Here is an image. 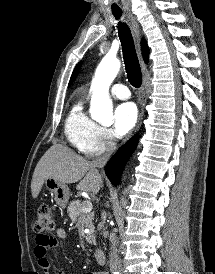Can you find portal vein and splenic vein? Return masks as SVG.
I'll return each mask as SVG.
<instances>
[{"label":"portal vein and splenic vein","instance_id":"portal-vein-and-splenic-vein-1","mask_svg":"<svg viewBox=\"0 0 215 274\" xmlns=\"http://www.w3.org/2000/svg\"><path fill=\"white\" fill-rule=\"evenodd\" d=\"M91 210H92V203L90 201H85L82 211L87 213V212H90Z\"/></svg>","mask_w":215,"mask_h":274}]
</instances>
